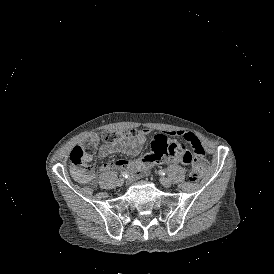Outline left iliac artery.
<instances>
[{
    "label": "left iliac artery",
    "mask_w": 274,
    "mask_h": 274,
    "mask_svg": "<svg viewBox=\"0 0 274 274\" xmlns=\"http://www.w3.org/2000/svg\"><path fill=\"white\" fill-rule=\"evenodd\" d=\"M159 174H160V175H165V174H166V171H165V170H159Z\"/></svg>",
    "instance_id": "left-iliac-artery-1"
}]
</instances>
